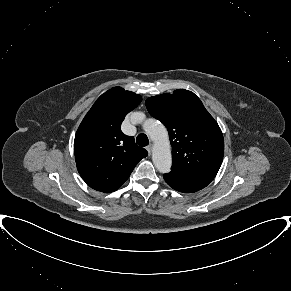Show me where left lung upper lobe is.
Here are the masks:
<instances>
[{"mask_svg":"<svg viewBox=\"0 0 291 291\" xmlns=\"http://www.w3.org/2000/svg\"><path fill=\"white\" fill-rule=\"evenodd\" d=\"M149 113L168 129L172 145L171 171L213 180L221 166L224 139L220 127L191 91L150 97Z\"/></svg>","mask_w":291,"mask_h":291,"instance_id":"obj_1","label":"left lung upper lobe"}]
</instances>
